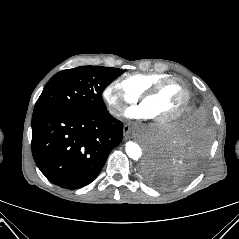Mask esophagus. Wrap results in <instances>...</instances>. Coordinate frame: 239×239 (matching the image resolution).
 <instances>
[{"label": "esophagus", "instance_id": "esophagus-1", "mask_svg": "<svg viewBox=\"0 0 239 239\" xmlns=\"http://www.w3.org/2000/svg\"><path fill=\"white\" fill-rule=\"evenodd\" d=\"M130 126L129 125H124L123 127V134L125 138H129V134H130Z\"/></svg>", "mask_w": 239, "mask_h": 239}]
</instances>
